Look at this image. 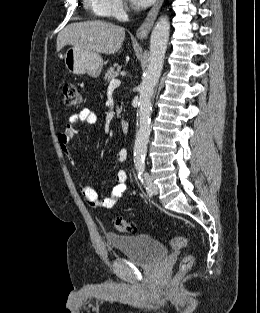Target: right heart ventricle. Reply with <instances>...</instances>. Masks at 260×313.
Returning <instances> with one entry per match:
<instances>
[{
  "label": "right heart ventricle",
  "instance_id": "e07e8e85",
  "mask_svg": "<svg viewBox=\"0 0 260 313\" xmlns=\"http://www.w3.org/2000/svg\"><path fill=\"white\" fill-rule=\"evenodd\" d=\"M87 7L97 16H106L102 0H85Z\"/></svg>",
  "mask_w": 260,
  "mask_h": 313
}]
</instances>
